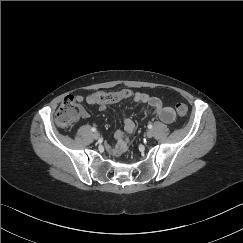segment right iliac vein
I'll use <instances>...</instances> for the list:
<instances>
[{
	"mask_svg": "<svg viewBox=\"0 0 243 243\" xmlns=\"http://www.w3.org/2000/svg\"><path fill=\"white\" fill-rule=\"evenodd\" d=\"M93 138H94L95 140H97V139L99 138V133L95 132V133L93 134Z\"/></svg>",
	"mask_w": 243,
	"mask_h": 243,
	"instance_id": "1",
	"label": "right iliac vein"
}]
</instances>
